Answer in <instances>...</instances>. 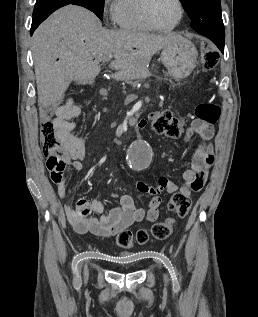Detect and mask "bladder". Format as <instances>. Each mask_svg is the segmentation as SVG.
<instances>
[{
	"instance_id": "31cf9c89",
	"label": "bladder",
	"mask_w": 258,
	"mask_h": 317,
	"mask_svg": "<svg viewBox=\"0 0 258 317\" xmlns=\"http://www.w3.org/2000/svg\"><path fill=\"white\" fill-rule=\"evenodd\" d=\"M118 257L122 265L126 267L134 266L137 262V256L136 254H133V253H123V254H120Z\"/></svg>"
}]
</instances>
